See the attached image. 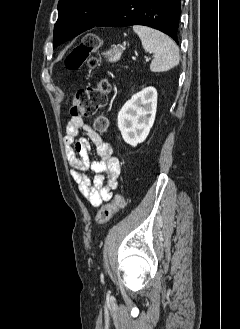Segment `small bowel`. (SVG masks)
I'll return each instance as SVG.
<instances>
[{
	"label": "small bowel",
	"instance_id": "obj_1",
	"mask_svg": "<svg viewBox=\"0 0 240 329\" xmlns=\"http://www.w3.org/2000/svg\"><path fill=\"white\" fill-rule=\"evenodd\" d=\"M80 130L86 137H78ZM90 143L95 145L99 161L91 159ZM64 145L68 163L72 168L71 176L77 183L80 193L94 207L109 202L117 188L120 174L119 161L113 156L111 146L79 117H72L68 121ZM88 170L97 174L91 179L86 174Z\"/></svg>",
	"mask_w": 240,
	"mask_h": 329
}]
</instances>
